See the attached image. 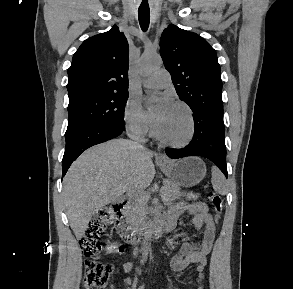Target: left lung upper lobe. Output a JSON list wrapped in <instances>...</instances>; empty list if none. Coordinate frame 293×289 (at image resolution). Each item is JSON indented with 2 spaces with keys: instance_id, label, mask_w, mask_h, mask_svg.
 <instances>
[{
  "instance_id": "1",
  "label": "left lung upper lobe",
  "mask_w": 293,
  "mask_h": 289,
  "mask_svg": "<svg viewBox=\"0 0 293 289\" xmlns=\"http://www.w3.org/2000/svg\"><path fill=\"white\" fill-rule=\"evenodd\" d=\"M160 54L178 96L193 113H223L220 65L216 51L204 38L170 24L161 36Z\"/></svg>"
}]
</instances>
